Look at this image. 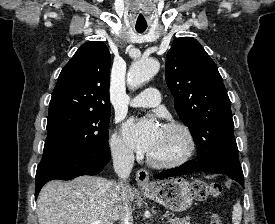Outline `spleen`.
I'll use <instances>...</instances> for the list:
<instances>
[{
	"label": "spleen",
	"mask_w": 275,
	"mask_h": 224,
	"mask_svg": "<svg viewBox=\"0 0 275 224\" xmlns=\"http://www.w3.org/2000/svg\"><path fill=\"white\" fill-rule=\"evenodd\" d=\"M241 219H242V207L240 205V202L237 201V203L233 207L232 222L233 224H240Z\"/></svg>",
	"instance_id": "3e777b00"
}]
</instances>
